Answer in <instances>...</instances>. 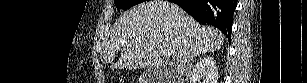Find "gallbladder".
Wrapping results in <instances>:
<instances>
[{
	"instance_id": "bac80fb5",
	"label": "gallbladder",
	"mask_w": 307,
	"mask_h": 83,
	"mask_svg": "<svg viewBox=\"0 0 307 83\" xmlns=\"http://www.w3.org/2000/svg\"><path fill=\"white\" fill-rule=\"evenodd\" d=\"M159 75L158 69H147L143 74H142V81L144 83H156L157 82V77Z\"/></svg>"
}]
</instances>
